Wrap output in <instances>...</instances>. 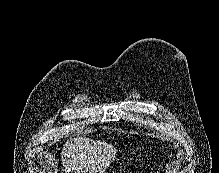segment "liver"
<instances>
[{
	"mask_svg": "<svg viewBox=\"0 0 219 173\" xmlns=\"http://www.w3.org/2000/svg\"><path fill=\"white\" fill-rule=\"evenodd\" d=\"M117 150L101 141L77 137L66 142L61 158L65 173H104Z\"/></svg>",
	"mask_w": 219,
	"mask_h": 173,
	"instance_id": "6515ba94",
	"label": "liver"
}]
</instances>
